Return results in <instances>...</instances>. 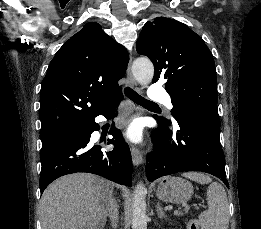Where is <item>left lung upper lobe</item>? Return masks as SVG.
Segmentation results:
<instances>
[{"label": "left lung upper lobe", "instance_id": "5c2ea615", "mask_svg": "<svg viewBox=\"0 0 261 229\" xmlns=\"http://www.w3.org/2000/svg\"><path fill=\"white\" fill-rule=\"evenodd\" d=\"M136 49L154 65L152 82L167 80L176 120L187 110L219 117L215 63L198 34L176 20L158 17L143 26ZM166 123L170 125L169 120Z\"/></svg>", "mask_w": 261, "mask_h": 229}]
</instances>
